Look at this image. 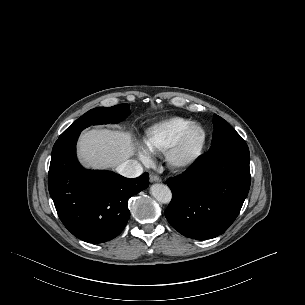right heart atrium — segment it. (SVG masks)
Returning a JSON list of instances; mask_svg holds the SVG:
<instances>
[{"mask_svg":"<svg viewBox=\"0 0 305 305\" xmlns=\"http://www.w3.org/2000/svg\"><path fill=\"white\" fill-rule=\"evenodd\" d=\"M139 157L145 162H148L150 160V155L145 150L139 151Z\"/></svg>","mask_w":305,"mask_h":305,"instance_id":"obj_1","label":"right heart atrium"}]
</instances>
